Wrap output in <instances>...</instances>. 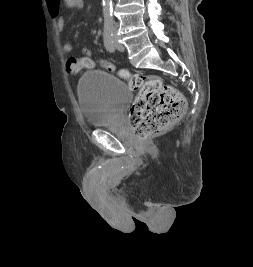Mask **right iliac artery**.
Masks as SVG:
<instances>
[{"instance_id":"82829eb1","label":"right iliac artery","mask_w":253,"mask_h":267,"mask_svg":"<svg viewBox=\"0 0 253 267\" xmlns=\"http://www.w3.org/2000/svg\"><path fill=\"white\" fill-rule=\"evenodd\" d=\"M104 45L109 52L113 53L115 51L113 34L112 31L109 29L104 30Z\"/></svg>"}]
</instances>
